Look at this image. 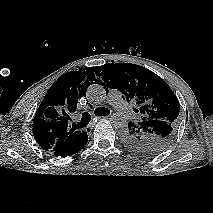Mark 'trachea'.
I'll list each match as a JSON object with an SVG mask.
<instances>
[{
    "mask_svg": "<svg viewBox=\"0 0 213 213\" xmlns=\"http://www.w3.org/2000/svg\"><path fill=\"white\" fill-rule=\"evenodd\" d=\"M94 113L97 116H104V115H108L110 113V111L107 108L99 107V108L95 109ZM90 120H91L90 114L88 112H84L82 114V119H81L80 123L73 124V127L75 129L81 128V127H86L89 124Z\"/></svg>",
    "mask_w": 213,
    "mask_h": 213,
    "instance_id": "trachea-1",
    "label": "trachea"
}]
</instances>
